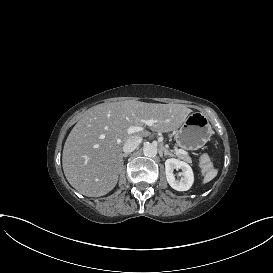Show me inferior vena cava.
Segmentation results:
<instances>
[{
    "mask_svg": "<svg viewBox=\"0 0 273 273\" xmlns=\"http://www.w3.org/2000/svg\"><path fill=\"white\" fill-rule=\"evenodd\" d=\"M142 137L141 136H132L129 138L123 145V152L130 153L134 151L137 146L141 143Z\"/></svg>",
    "mask_w": 273,
    "mask_h": 273,
    "instance_id": "obj_1",
    "label": "inferior vena cava"
}]
</instances>
